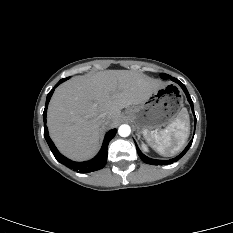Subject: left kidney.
Wrapping results in <instances>:
<instances>
[{
	"mask_svg": "<svg viewBox=\"0 0 233 233\" xmlns=\"http://www.w3.org/2000/svg\"><path fill=\"white\" fill-rule=\"evenodd\" d=\"M142 148H143L144 151L148 152V148H147L145 143H142Z\"/></svg>",
	"mask_w": 233,
	"mask_h": 233,
	"instance_id": "left-kidney-1",
	"label": "left kidney"
}]
</instances>
